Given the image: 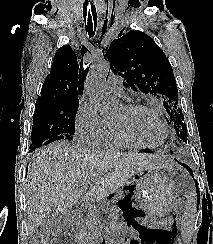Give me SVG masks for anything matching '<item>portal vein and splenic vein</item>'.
Masks as SVG:
<instances>
[{"label":"portal vein and splenic vein","mask_w":213,"mask_h":244,"mask_svg":"<svg viewBox=\"0 0 213 244\" xmlns=\"http://www.w3.org/2000/svg\"><path fill=\"white\" fill-rule=\"evenodd\" d=\"M83 186H84V188H87L90 186V184L87 183V184H84Z\"/></svg>","instance_id":"portal-vein-and-splenic-vein-1"}]
</instances>
